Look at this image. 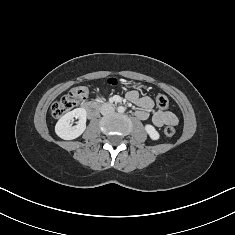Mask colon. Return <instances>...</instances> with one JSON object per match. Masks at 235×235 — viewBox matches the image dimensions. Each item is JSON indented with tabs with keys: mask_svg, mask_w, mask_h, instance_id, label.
<instances>
[{
	"mask_svg": "<svg viewBox=\"0 0 235 235\" xmlns=\"http://www.w3.org/2000/svg\"><path fill=\"white\" fill-rule=\"evenodd\" d=\"M111 85H117L116 79H110ZM88 96V88L86 86H77L72 88L67 95L62 97L59 101L55 102L51 107V113L54 117L59 118L67 112L73 110L77 104L85 100ZM156 106L159 110L164 111L169 107V100L165 95H158L156 97ZM175 128L173 126H167L164 129V135L166 137H172L175 134Z\"/></svg>",
	"mask_w": 235,
	"mask_h": 235,
	"instance_id": "colon-1",
	"label": "colon"
}]
</instances>
